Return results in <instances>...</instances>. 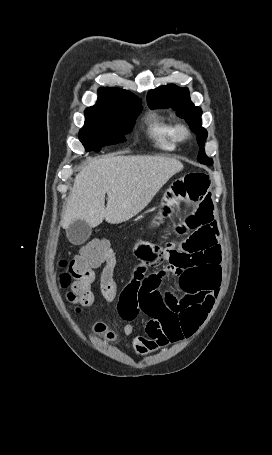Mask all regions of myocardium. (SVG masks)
I'll return each mask as SVG.
<instances>
[{
  "mask_svg": "<svg viewBox=\"0 0 272 455\" xmlns=\"http://www.w3.org/2000/svg\"><path fill=\"white\" fill-rule=\"evenodd\" d=\"M176 136L178 141H185L190 137V130L184 124H177L176 125Z\"/></svg>",
  "mask_w": 272,
  "mask_h": 455,
  "instance_id": "f54148a6",
  "label": "myocardium"
}]
</instances>
